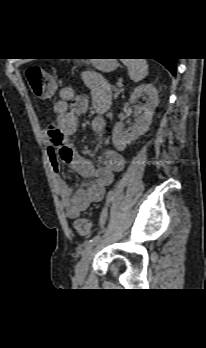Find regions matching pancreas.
<instances>
[{
    "instance_id": "obj_1",
    "label": "pancreas",
    "mask_w": 206,
    "mask_h": 348,
    "mask_svg": "<svg viewBox=\"0 0 206 348\" xmlns=\"http://www.w3.org/2000/svg\"><path fill=\"white\" fill-rule=\"evenodd\" d=\"M122 92H124V88L122 86L114 88V98H117Z\"/></svg>"
}]
</instances>
